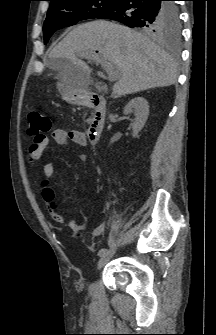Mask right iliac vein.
Here are the masks:
<instances>
[{
  "instance_id": "obj_1",
  "label": "right iliac vein",
  "mask_w": 216,
  "mask_h": 335,
  "mask_svg": "<svg viewBox=\"0 0 216 335\" xmlns=\"http://www.w3.org/2000/svg\"><path fill=\"white\" fill-rule=\"evenodd\" d=\"M116 252H117V247H113L110 250H108L106 254L101 256V258L99 259L97 263V269H101L106 263H108L114 257ZM93 289H94V285L92 284L89 288V292L92 293Z\"/></svg>"
}]
</instances>
